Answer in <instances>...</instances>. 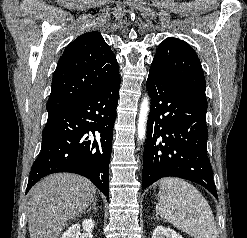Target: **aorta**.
I'll return each instance as SVG.
<instances>
[{"instance_id": "obj_1", "label": "aorta", "mask_w": 247, "mask_h": 238, "mask_svg": "<svg viewBox=\"0 0 247 238\" xmlns=\"http://www.w3.org/2000/svg\"><path fill=\"white\" fill-rule=\"evenodd\" d=\"M149 110V99L148 97H146L141 103L137 124L138 140L140 141H142L145 138Z\"/></svg>"}]
</instances>
